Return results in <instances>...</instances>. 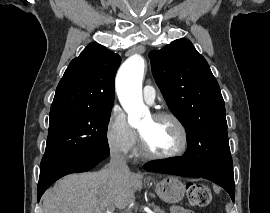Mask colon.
Segmentation results:
<instances>
[{
	"label": "colon",
	"instance_id": "5ec220e1",
	"mask_svg": "<svg viewBox=\"0 0 270 213\" xmlns=\"http://www.w3.org/2000/svg\"><path fill=\"white\" fill-rule=\"evenodd\" d=\"M186 193L190 204L194 207H205L212 199L210 189L198 183H188Z\"/></svg>",
	"mask_w": 270,
	"mask_h": 213
}]
</instances>
